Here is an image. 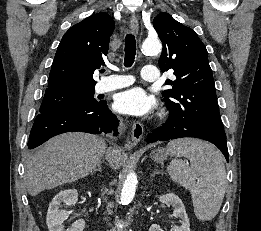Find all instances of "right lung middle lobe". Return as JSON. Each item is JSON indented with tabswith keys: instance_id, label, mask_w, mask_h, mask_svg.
Returning <instances> with one entry per match:
<instances>
[{
	"instance_id": "right-lung-middle-lobe-1",
	"label": "right lung middle lobe",
	"mask_w": 261,
	"mask_h": 231,
	"mask_svg": "<svg viewBox=\"0 0 261 231\" xmlns=\"http://www.w3.org/2000/svg\"><path fill=\"white\" fill-rule=\"evenodd\" d=\"M94 88L52 89L46 90L40 114L73 106H91L97 104Z\"/></svg>"
}]
</instances>
